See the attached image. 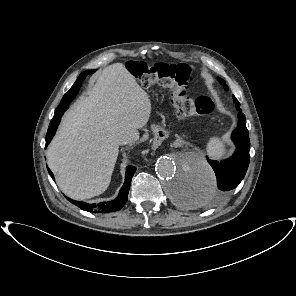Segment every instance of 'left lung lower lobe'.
<instances>
[{
  "label": "left lung lower lobe",
  "instance_id": "1",
  "mask_svg": "<svg viewBox=\"0 0 296 296\" xmlns=\"http://www.w3.org/2000/svg\"><path fill=\"white\" fill-rule=\"evenodd\" d=\"M233 99L236 103V108L239 110L240 104L238 100L234 96ZM238 117V126L232 133V140L236 145L235 153L229 159L221 162L208 159L217 177V188L211 193H197L189 179L184 176L180 183L186 189L183 195L185 205H203L213 199H220L236 188L244 178L250 160V140L244 114L240 112ZM177 192L179 194L182 193L180 188H178Z\"/></svg>",
  "mask_w": 296,
  "mask_h": 296
}]
</instances>
